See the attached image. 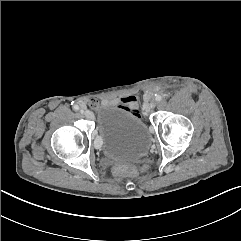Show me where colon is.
Here are the masks:
<instances>
[{"label": "colon", "instance_id": "1", "mask_svg": "<svg viewBox=\"0 0 241 241\" xmlns=\"http://www.w3.org/2000/svg\"><path fill=\"white\" fill-rule=\"evenodd\" d=\"M89 106H90L91 108H96L97 103L93 101V102H91V103L89 104ZM115 173H116L117 175H133V174L136 173V169H135V167H134L133 165H131V164H122V165L117 166V167L115 168Z\"/></svg>", "mask_w": 241, "mask_h": 241}]
</instances>
